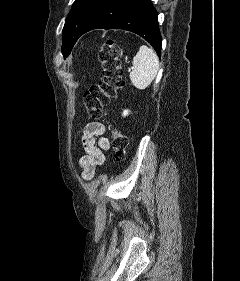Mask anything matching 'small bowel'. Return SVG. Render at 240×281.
Returning a JSON list of instances; mask_svg holds the SVG:
<instances>
[{
    "label": "small bowel",
    "mask_w": 240,
    "mask_h": 281,
    "mask_svg": "<svg viewBox=\"0 0 240 281\" xmlns=\"http://www.w3.org/2000/svg\"><path fill=\"white\" fill-rule=\"evenodd\" d=\"M105 133L106 128L100 122H89L83 129L81 141L86 154L81 157L79 165L85 181L91 180L97 167L105 162L103 151L110 149V141Z\"/></svg>",
    "instance_id": "1"
}]
</instances>
